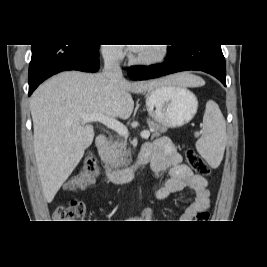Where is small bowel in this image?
<instances>
[{
  "mask_svg": "<svg viewBox=\"0 0 267 267\" xmlns=\"http://www.w3.org/2000/svg\"><path fill=\"white\" fill-rule=\"evenodd\" d=\"M140 156L148 157L156 177L162 174L167 175L163 185L155 188L154 194L158 200H165L171 194L181 192L184 189H190L194 192V202L182 215V222H189L197 212L209 207L210 193L207 189L206 179L194 174L187 165L182 163L181 155L168 138L160 137L145 143ZM91 183L92 179L85 183L75 179L69 183L68 188L76 190ZM153 216V210L148 208L139 219L143 222H152Z\"/></svg>",
  "mask_w": 267,
  "mask_h": 267,
  "instance_id": "small-bowel-1",
  "label": "small bowel"
}]
</instances>
